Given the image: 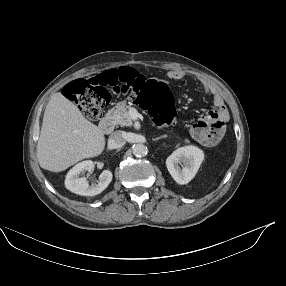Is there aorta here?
<instances>
[{
	"mask_svg": "<svg viewBox=\"0 0 286 286\" xmlns=\"http://www.w3.org/2000/svg\"><path fill=\"white\" fill-rule=\"evenodd\" d=\"M133 154L136 156V157H143L147 154L148 152V149L145 145L143 144H135L133 146Z\"/></svg>",
	"mask_w": 286,
	"mask_h": 286,
	"instance_id": "aorta-1",
	"label": "aorta"
}]
</instances>
